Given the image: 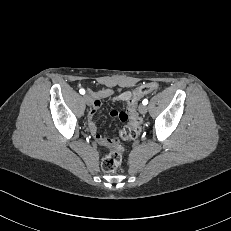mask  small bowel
<instances>
[{"instance_id": "c3829d8e", "label": "small bowel", "mask_w": 231, "mask_h": 231, "mask_svg": "<svg viewBox=\"0 0 231 231\" xmlns=\"http://www.w3.org/2000/svg\"><path fill=\"white\" fill-rule=\"evenodd\" d=\"M89 92L93 99L92 107L89 111V118H88L89 130L99 145L104 146V147H113L115 144H117L118 140L108 138L106 136L101 135L98 132L96 118H95L96 113H97V110L101 107L102 102L104 100L127 102L131 96V92L124 91L122 93L116 94V92L112 88H104L99 91L90 90ZM121 112L123 111L112 110L110 112V115L111 117L118 118L120 121H122L120 119Z\"/></svg>"}]
</instances>
